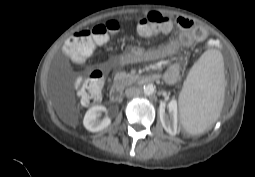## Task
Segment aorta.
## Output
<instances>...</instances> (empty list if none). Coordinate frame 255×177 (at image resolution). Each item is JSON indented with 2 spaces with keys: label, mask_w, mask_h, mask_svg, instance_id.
Returning <instances> with one entry per match:
<instances>
[{
  "label": "aorta",
  "mask_w": 255,
  "mask_h": 177,
  "mask_svg": "<svg viewBox=\"0 0 255 177\" xmlns=\"http://www.w3.org/2000/svg\"><path fill=\"white\" fill-rule=\"evenodd\" d=\"M143 92L145 95H152L155 92V87L153 84H147L143 87Z\"/></svg>",
  "instance_id": "762f6f07"
}]
</instances>
